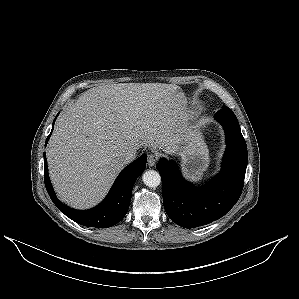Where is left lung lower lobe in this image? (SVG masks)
I'll return each instance as SVG.
<instances>
[{
    "instance_id": "left-lung-lower-lobe-1",
    "label": "left lung lower lobe",
    "mask_w": 299,
    "mask_h": 299,
    "mask_svg": "<svg viewBox=\"0 0 299 299\" xmlns=\"http://www.w3.org/2000/svg\"><path fill=\"white\" fill-rule=\"evenodd\" d=\"M214 116L225 130L227 148L222 169L213 180L196 188L181 176L172 161L161 159L156 165L163 183L165 211L184 228L203 226L221 218L242 193L248 152L238 119L227 106Z\"/></svg>"
}]
</instances>
